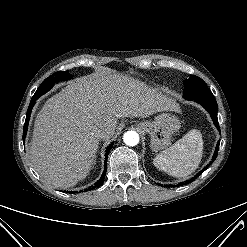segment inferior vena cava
<instances>
[{
    "instance_id": "obj_1",
    "label": "inferior vena cava",
    "mask_w": 247,
    "mask_h": 247,
    "mask_svg": "<svg viewBox=\"0 0 247 247\" xmlns=\"http://www.w3.org/2000/svg\"><path fill=\"white\" fill-rule=\"evenodd\" d=\"M94 136L98 139H102L106 135L105 129H95L93 132Z\"/></svg>"
}]
</instances>
